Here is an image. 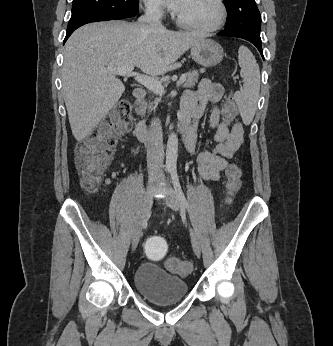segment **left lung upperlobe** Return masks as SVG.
<instances>
[{
  "mask_svg": "<svg viewBox=\"0 0 333 346\" xmlns=\"http://www.w3.org/2000/svg\"><path fill=\"white\" fill-rule=\"evenodd\" d=\"M227 8L225 29L235 30L261 40V15L255 0H224Z\"/></svg>",
  "mask_w": 333,
  "mask_h": 346,
  "instance_id": "5c2ea615",
  "label": "left lung upper lobe"
}]
</instances>
